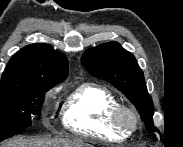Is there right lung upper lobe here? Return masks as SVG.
<instances>
[{
	"label": "right lung upper lobe",
	"mask_w": 183,
	"mask_h": 147,
	"mask_svg": "<svg viewBox=\"0 0 183 147\" xmlns=\"http://www.w3.org/2000/svg\"><path fill=\"white\" fill-rule=\"evenodd\" d=\"M68 76V61L59 51L45 43L28 45L7 64L1 87L43 83L53 87Z\"/></svg>",
	"instance_id": "cb5924a9"
}]
</instances>
